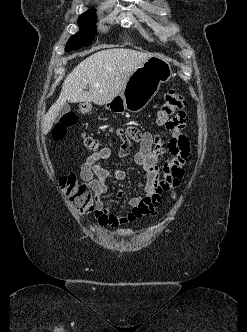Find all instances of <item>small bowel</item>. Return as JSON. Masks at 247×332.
<instances>
[{
	"mask_svg": "<svg viewBox=\"0 0 247 332\" xmlns=\"http://www.w3.org/2000/svg\"><path fill=\"white\" fill-rule=\"evenodd\" d=\"M184 124L173 131L168 143V151L172 157L161 166L159 157L164 153V148L160 137L132 126L125 129H112L122 138V144L114 156L110 147H103L87 157L81 166L80 176L94 193L97 207L96 218L100 226L116 229L145 216L154 215L162 195L180 185L184 176V164L189 156V141L182 133ZM131 140L138 144L137 151H134ZM129 156L146 172L144 194L130 199L131 210L128 213L112 214L104 206L101 198L108 190L109 180H124L126 174L119 168L110 172L102 165V162L111 158L122 160ZM118 196L123 197L124 192L119 191Z\"/></svg>",
	"mask_w": 247,
	"mask_h": 332,
	"instance_id": "c3829d8e",
	"label": "small bowel"
}]
</instances>
